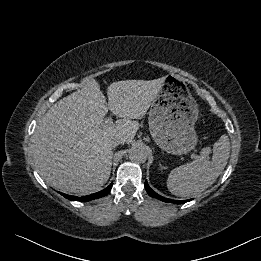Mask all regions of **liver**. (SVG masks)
I'll return each mask as SVG.
<instances>
[{
  "label": "liver",
  "mask_w": 261,
  "mask_h": 261,
  "mask_svg": "<svg viewBox=\"0 0 261 261\" xmlns=\"http://www.w3.org/2000/svg\"><path fill=\"white\" fill-rule=\"evenodd\" d=\"M163 83V78L113 82L107 104L96 80L85 78L81 90L57 101L36 126L32 153L43 180L65 193L99 191L111 172V141L132 142L136 120L146 114ZM108 109L122 119L105 126Z\"/></svg>",
  "instance_id": "6515ba94"
}]
</instances>
